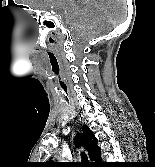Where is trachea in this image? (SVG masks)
I'll return each instance as SVG.
<instances>
[{"label":"trachea","mask_w":155,"mask_h":167,"mask_svg":"<svg viewBox=\"0 0 155 167\" xmlns=\"http://www.w3.org/2000/svg\"><path fill=\"white\" fill-rule=\"evenodd\" d=\"M81 157L84 162H87V156L84 152L81 154Z\"/></svg>","instance_id":"3493384b"}]
</instances>
